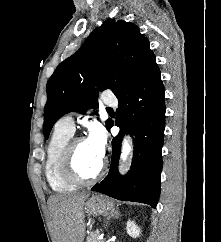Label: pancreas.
I'll return each mask as SVG.
<instances>
[{
  "label": "pancreas",
  "mask_w": 221,
  "mask_h": 242,
  "mask_svg": "<svg viewBox=\"0 0 221 242\" xmlns=\"http://www.w3.org/2000/svg\"><path fill=\"white\" fill-rule=\"evenodd\" d=\"M98 237L99 232H93L86 238V242H105L104 240H99Z\"/></svg>",
  "instance_id": "pancreas-1"
}]
</instances>
